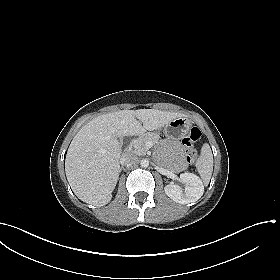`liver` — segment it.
Segmentation results:
<instances>
[{"mask_svg":"<svg viewBox=\"0 0 280 280\" xmlns=\"http://www.w3.org/2000/svg\"><path fill=\"white\" fill-rule=\"evenodd\" d=\"M183 116L157 109L119 110L89 121L74 136L65 159L66 177L75 195L94 206L108 204L120 173L118 138L160 129Z\"/></svg>","mask_w":280,"mask_h":280,"instance_id":"6515ba94","label":"liver"}]
</instances>
